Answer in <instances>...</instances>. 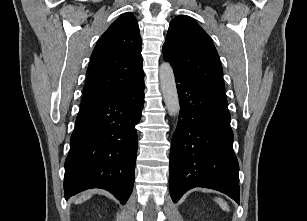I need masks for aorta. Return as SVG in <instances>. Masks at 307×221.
Segmentation results:
<instances>
[{"mask_svg":"<svg viewBox=\"0 0 307 221\" xmlns=\"http://www.w3.org/2000/svg\"><path fill=\"white\" fill-rule=\"evenodd\" d=\"M159 79L165 106L171 116H176L180 111L174 72L168 62H163L159 69Z\"/></svg>","mask_w":307,"mask_h":221,"instance_id":"762f6f07","label":"aorta"}]
</instances>
